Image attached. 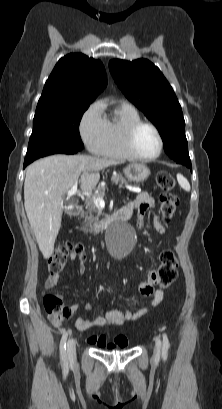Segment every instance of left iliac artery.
<instances>
[{
    "instance_id": "1",
    "label": "left iliac artery",
    "mask_w": 222,
    "mask_h": 409,
    "mask_svg": "<svg viewBox=\"0 0 222 409\" xmlns=\"http://www.w3.org/2000/svg\"><path fill=\"white\" fill-rule=\"evenodd\" d=\"M162 343H163L162 355H163L164 358H167L168 349H169V347H170V344H169V339H168V337H167V335H166L165 333L163 334V341H162Z\"/></svg>"
}]
</instances>
